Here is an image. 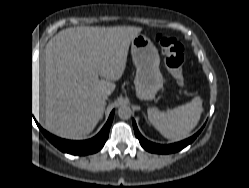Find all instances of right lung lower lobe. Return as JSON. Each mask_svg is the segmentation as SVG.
Masks as SVG:
<instances>
[{"instance_id":"98d812e1","label":"right lung lower lobe","mask_w":249,"mask_h":188,"mask_svg":"<svg viewBox=\"0 0 249 188\" xmlns=\"http://www.w3.org/2000/svg\"><path fill=\"white\" fill-rule=\"evenodd\" d=\"M113 116L114 110L111 112L108 121L106 122L102 130L98 133V135L85 141H70L60 139L46 132L38 123L37 124L45 137L59 150L74 155H87L99 151L104 146L106 140L108 139L109 129L113 121Z\"/></svg>"}]
</instances>
